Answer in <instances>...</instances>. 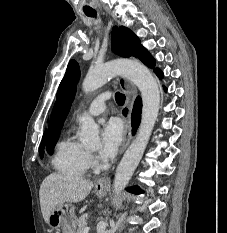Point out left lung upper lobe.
Returning a JSON list of instances; mask_svg holds the SVG:
<instances>
[{"label":"left lung upper lobe","instance_id":"left-lung-upper-lobe-1","mask_svg":"<svg viewBox=\"0 0 227 233\" xmlns=\"http://www.w3.org/2000/svg\"><path fill=\"white\" fill-rule=\"evenodd\" d=\"M111 45L114 53L122 57L139 58L144 64L153 68L155 73L159 71L158 68H154V59L149 52L140 44L138 37L128 28L124 26L117 28L115 26L112 30ZM79 78V65L75 60H71L57 91L47 141L49 154L53 153L54 146L58 141L60 130L74 99Z\"/></svg>","mask_w":227,"mask_h":233}]
</instances>
